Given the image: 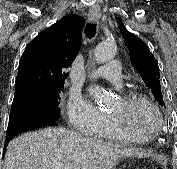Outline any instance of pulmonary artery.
Here are the masks:
<instances>
[{"instance_id": "pulmonary-artery-1", "label": "pulmonary artery", "mask_w": 177, "mask_h": 169, "mask_svg": "<svg viewBox=\"0 0 177 169\" xmlns=\"http://www.w3.org/2000/svg\"><path fill=\"white\" fill-rule=\"evenodd\" d=\"M90 77L94 79L107 80L110 83L120 85L121 79V65L116 60H111L107 66L99 67L90 73Z\"/></svg>"}]
</instances>
